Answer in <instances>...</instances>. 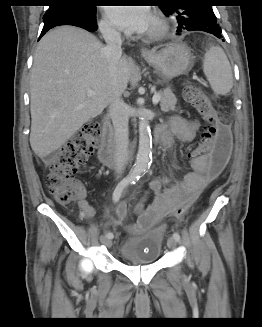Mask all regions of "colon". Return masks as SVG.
Listing matches in <instances>:
<instances>
[{
	"instance_id": "1",
	"label": "colon",
	"mask_w": 262,
	"mask_h": 327,
	"mask_svg": "<svg viewBox=\"0 0 262 327\" xmlns=\"http://www.w3.org/2000/svg\"><path fill=\"white\" fill-rule=\"evenodd\" d=\"M186 101L207 122L200 140L191 155H203L207 158L208 174L211 178L220 175L225 169L232 146V137L228 127L217 121L216 112L202 89L188 86L185 89ZM101 135L100 124L96 121L86 123L60 149L49 165L47 185L49 191L59 203H70L78 199L81 187L74 180L75 173L86 162ZM192 202H184L173 208L167 215L183 216ZM126 217V208L117 209V221L121 224Z\"/></svg>"
}]
</instances>
